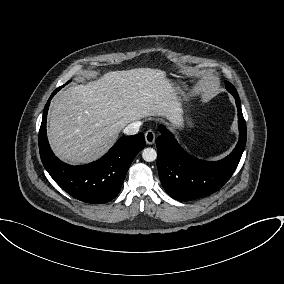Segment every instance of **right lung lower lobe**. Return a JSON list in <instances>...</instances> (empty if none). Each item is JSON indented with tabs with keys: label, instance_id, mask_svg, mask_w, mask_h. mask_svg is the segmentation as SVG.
<instances>
[{
	"label": "right lung lower lobe",
	"instance_id": "right-lung-lower-lobe-1",
	"mask_svg": "<svg viewBox=\"0 0 284 284\" xmlns=\"http://www.w3.org/2000/svg\"><path fill=\"white\" fill-rule=\"evenodd\" d=\"M56 93L57 90L52 93L43 111L39 130L41 161L53 180L75 199L94 204L106 203L118 195L130 164L145 147L144 134L121 137L101 159L93 163L82 166L65 164L53 154L46 135L47 112Z\"/></svg>",
	"mask_w": 284,
	"mask_h": 284
}]
</instances>
